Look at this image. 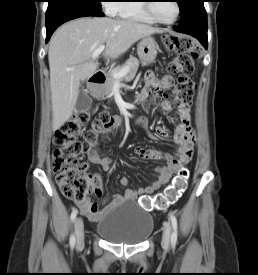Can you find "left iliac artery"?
<instances>
[{
  "label": "left iliac artery",
  "mask_w": 258,
  "mask_h": 275,
  "mask_svg": "<svg viewBox=\"0 0 258 275\" xmlns=\"http://www.w3.org/2000/svg\"><path fill=\"white\" fill-rule=\"evenodd\" d=\"M170 220H171V224H172V228H173V232L171 235V244L175 245L177 243V219L175 217L174 214L170 213L169 214Z\"/></svg>",
  "instance_id": "1"
}]
</instances>
